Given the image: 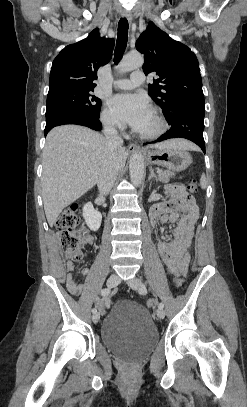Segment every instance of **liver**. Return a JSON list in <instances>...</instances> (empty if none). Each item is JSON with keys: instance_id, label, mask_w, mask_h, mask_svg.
Masks as SVG:
<instances>
[{"instance_id": "liver-1", "label": "liver", "mask_w": 247, "mask_h": 407, "mask_svg": "<svg viewBox=\"0 0 247 407\" xmlns=\"http://www.w3.org/2000/svg\"><path fill=\"white\" fill-rule=\"evenodd\" d=\"M151 147L196 149L184 139L168 140ZM127 155L122 147L110 149L102 135L87 127L63 125L52 129L43 150L41 178L49 226L54 225L65 207L96 185L106 163H114L119 170L125 165Z\"/></svg>"}]
</instances>
